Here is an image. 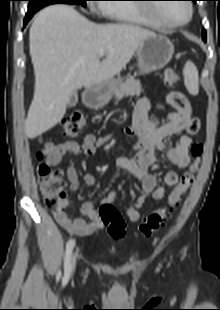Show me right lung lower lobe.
Listing matches in <instances>:
<instances>
[{
  "instance_id": "98d812e1",
  "label": "right lung lower lobe",
  "mask_w": 220,
  "mask_h": 310,
  "mask_svg": "<svg viewBox=\"0 0 220 310\" xmlns=\"http://www.w3.org/2000/svg\"><path fill=\"white\" fill-rule=\"evenodd\" d=\"M37 11H28L26 13L25 19H24V27L28 23V21L32 18V16L36 13Z\"/></svg>"
}]
</instances>
